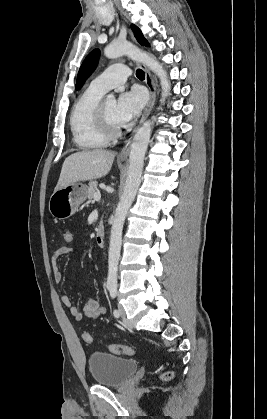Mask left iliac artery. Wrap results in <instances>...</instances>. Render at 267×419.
Returning a JSON list of instances; mask_svg holds the SVG:
<instances>
[{"instance_id":"obj_1","label":"left iliac artery","mask_w":267,"mask_h":419,"mask_svg":"<svg viewBox=\"0 0 267 419\" xmlns=\"http://www.w3.org/2000/svg\"><path fill=\"white\" fill-rule=\"evenodd\" d=\"M109 291H110V296H111V298H112V299H114V298L116 297V295H117V288H116V287H111V288L109 289ZM113 315H114L116 318H118V317L120 316V313H119V311H118L117 309H114V311H113Z\"/></svg>"}]
</instances>
